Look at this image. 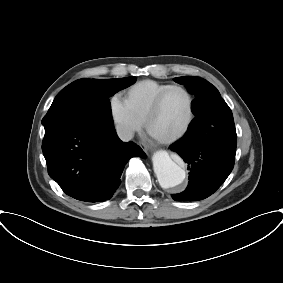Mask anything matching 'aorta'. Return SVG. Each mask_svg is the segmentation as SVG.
I'll return each instance as SVG.
<instances>
[{
    "label": "aorta",
    "instance_id": "obj_1",
    "mask_svg": "<svg viewBox=\"0 0 283 283\" xmlns=\"http://www.w3.org/2000/svg\"><path fill=\"white\" fill-rule=\"evenodd\" d=\"M153 169L164 189L180 185L185 179L184 169L171 159L166 151H157L152 157Z\"/></svg>",
    "mask_w": 283,
    "mask_h": 283
}]
</instances>
